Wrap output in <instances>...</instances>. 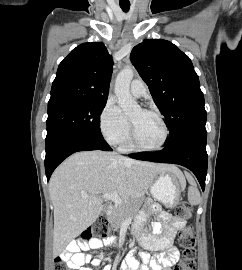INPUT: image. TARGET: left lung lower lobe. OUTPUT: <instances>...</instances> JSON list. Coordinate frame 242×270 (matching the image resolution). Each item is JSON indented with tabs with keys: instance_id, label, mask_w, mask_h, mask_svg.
<instances>
[{
	"instance_id": "left-lung-lower-lobe-1",
	"label": "left lung lower lobe",
	"mask_w": 242,
	"mask_h": 270,
	"mask_svg": "<svg viewBox=\"0 0 242 270\" xmlns=\"http://www.w3.org/2000/svg\"><path fill=\"white\" fill-rule=\"evenodd\" d=\"M206 137L205 127L192 128L166 141L167 145L161 151L133 153L129 156L139 160L182 165L195 174L204 191L208 162Z\"/></svg>"
}]
</instances>
